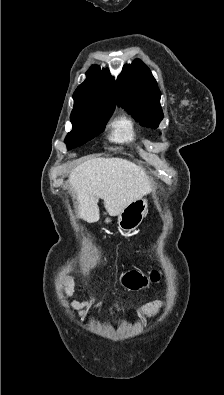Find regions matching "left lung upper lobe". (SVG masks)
I'll return each instance as SVG.
<instances>
[{"label": "left lung upper lobe", "instance_id": "1", "mask_svg": "<svg viewBox=\"0 0 224 395\" xmlns=\"http://www.w3.org/2000/svg\"><path fill=\"white\" fill-rule=\"evenodd\" d=\"M117 104L142 125L157 128L163 118L161 93L148 67L139 59L123 67L117 80Z\"/></svg>", "mask_w": 224, "mask_h": 395}]
</instances>
